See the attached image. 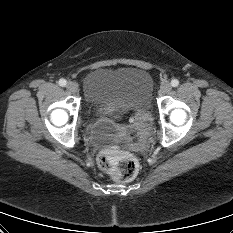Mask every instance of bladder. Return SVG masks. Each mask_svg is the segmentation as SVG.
<instances>
[{
  "mask_svg": "<svg viewBox=\"0 0 233 233\" xmlns=\"http://www.w3.org/2000/svg\"><path fill=\"white\" fill-rule=\"evenodd\" d=\"M154 81L138 67L98 68L83 79L86 113L91 116H121L151 107Z\"/></svg>",
  "mask_w": 233,
  "mask_h": 233,
  "instance_id": "31cf9c89",
  "label": "bladder"
}]
</instances>
